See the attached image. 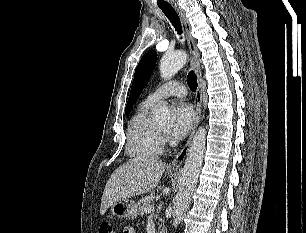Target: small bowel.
Masks as SVG:
<instances>
[{
    "label": "small bowel",
    "mask_w": 306,
    "mask_h": 233,
    "mask_svg": "<svg viewBox=\"0 0 306 233\" xmlns=\"http://www.w3.org/2000/svg\"><path fill=\"white\" fill-rule=\"evenodd\" d=\"M127 230H133V233H135V231H134V229H133V228H126V229L124 230V232H123V233H126V232H127Z\"/></svg>",
    "instance_id": "small-bowel-1"
}]
</instances>
